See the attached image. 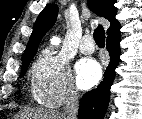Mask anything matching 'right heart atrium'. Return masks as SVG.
I'll return each mask as SVG.
<instances>
[{
  "label": "right heart atrium",
  "mask_w": 142,
  "mask_h": 119,
  "mask_svg": "<svg viewBox=\"0 0 142 119\" xmlns=\"http://www.w3.org/2000/svg\"><path fill=\"white\" fill-rule=\"evenodd\" d=\"M32 91L34 97L46 107H58L77 98L69 64L62 54L45 50L32 66Z\"/></svg>",
  "instance_id": "obj_1"
}]
</instances>
